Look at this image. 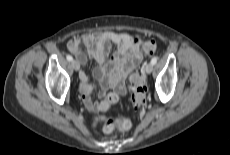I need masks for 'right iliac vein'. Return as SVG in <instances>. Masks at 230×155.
<instances>
[{
  "label": "right iliac vein",
  "mask_w": 230,
  "mask_h": 155,
  "mask_svg": "<svg viewBox=\"0 0 230 155\" xmlns=\"http://www.w3.org/2000/svg\"><path fill=\"white\" fill-rule=\"evenodd\" d=\"M71 65H72L73 69L76 71H78L80 69V64L78 63L77 60H72Z\"/></svg>",
  "instance_id": "63e3f726"
}]
</instances>
